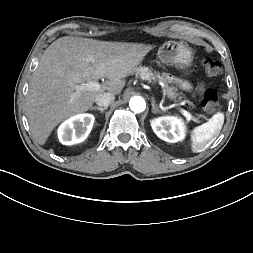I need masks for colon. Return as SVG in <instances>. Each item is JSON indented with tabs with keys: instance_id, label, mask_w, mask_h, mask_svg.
Segmentation results:
<instances>
[{
	"instance_id": "5ec220e1",
	"label": "colon",
	"mask_w": 253,
	"mask_h": 253,
	"mask_svg": "<svg viewBox=\"0 0 253 253\" xmlns=\"http://www.w3.org/2000/svg\"><path fill=\"white\" fill-rule=\"evenodd\" d=\"M203 68L205 73L210 77H216L221 72V63L211 57H207L203 60ZM202 108L207 112H215L218 110V94L213 89H207L201 100Z\"/></svg>"
}]
</instances>
